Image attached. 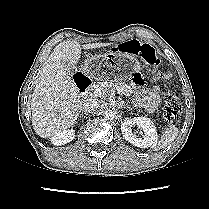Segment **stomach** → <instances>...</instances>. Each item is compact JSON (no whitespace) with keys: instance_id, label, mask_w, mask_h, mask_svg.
I'll use <instances>...</instances> for the list:
<instances>
[{"instance_id":"stomach-1","label":"stomach","mask_w":209,"mask_h":209,"mask_svg":"<svg viewBox=\"0 0 209 209\" xmlns=\"http://www.w3.org/2000/svg\"><path fill=\"white\" fill-rule=\"evenodd\" d=\"M135 69H141V64L135 55L118 52L92 56L84 64V73L92 81L109 82L129 76Z\"/></svg>"}]
</instances>
